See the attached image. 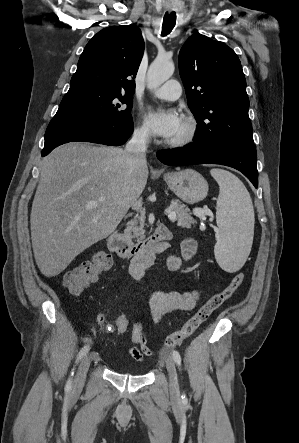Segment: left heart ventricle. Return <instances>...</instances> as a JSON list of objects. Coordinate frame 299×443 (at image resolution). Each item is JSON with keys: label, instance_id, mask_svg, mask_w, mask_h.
<instances>
[{"label": "left heart ventricle", "instance_id": "obj_1", "mask_svg": "<svg viewBox=\"0 0 299 443\" xmlns=\"http://www.w3.org/2000/svg\"><path fill=\"white\" fill-rule=\"evenodd\" d=\"M182 131H183V124L181 123L180 128H179L178 131L175 133V135H174L173 137H171V138H174V137L179 136V135L182 133Z\"/></svg>", "mask_w": 299, "mask_h": 443}]
</instances>
